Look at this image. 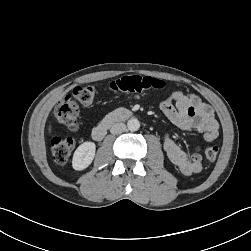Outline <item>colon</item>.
<instances>
[{
    "mask_svg": "<svg viewBox=\"0 0 251 251\" xmlns=\"http://www.w3.org/2000/svg\"><path fill=\"white\" fill-rule=\"evenodd\" d=\"M165 82L147 76H123L113 80L109 84L110 90L114 92H125L132 94L147 93L149 91L161 90ZM97 89L94 85H82L75 87L70 94L61 99L55 107V116L58 122L69 130H76L78 127L79 105L88 107L95 101ZM75 146L72 137L53 136L51 139L52 155L57 164H66ZM219 148L216 145H209L205 149V157L213 162L218 156Z\"/></svg>",
    "mask_w": 251,
    "mask_h": 251,
    "instance_id": "colon-1",
    "label": "colon"
}]
</instances>
